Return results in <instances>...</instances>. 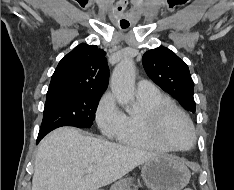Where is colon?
I'll list each match as a JSON object with an SVG mask.
<instances>
[{
    "mask_svg": "<svg viewBox=\"0 0 234 190\" xmlns=\"http://www.w3.org/2000/svg\"><path fill=\"white\" fill-rule=\"evenodd\" d=\"M185 190H193V189H191V188H187V189H185Z\"/></svg>",
    "mask_w": 234,
    "mask_h": 190,
    "instance_id": "colon-1",
    "label": "colon"
}]
</instances>
